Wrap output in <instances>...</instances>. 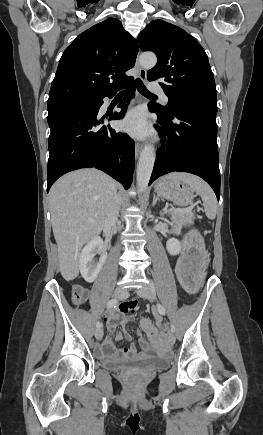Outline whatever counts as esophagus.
I'll list each match as a JSON object with an SVG mask.
<instances>
[{
  "instance_id": "1",
  "label": "esophagus",
  "mask_w": 263,
  "mask_h": 435,
  "mask_svg": "<svg viewBox=\"0 0 263 435\" xmlns=\"http://www.w3.org/2000/svg\"><path fill=\"white\" fill-rule=\"evenodd\" d=\"M135 68L137 69L138 77L141 80H145L146 79V70L140 65L139 56H137ZM141 150H142V144L136 141L135 142V156H136V158L139 156Z\"/></svg>"
}]
</instances>
